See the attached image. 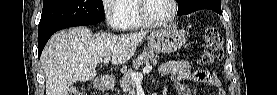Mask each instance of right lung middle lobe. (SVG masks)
I'll use <instances>...</instances> for the list:
<instances>
[{
    "instance_id": "right-lung-middle-lobe-1",
    "label": "right lung middle lobe",
    "mask_w": 277,
    "mask_h": 95,
    "mask_svg": "<svg viewBox=\"0 0 277 95\" xmlns=\"http://www.w3.org/2000/svg\"><path fill=\"white\" fill-rule=\"evenodd\" d=\"M104 18L102 0H44L38 29L55 24L100 22Z\"/></svg>"
}]
</instances>
